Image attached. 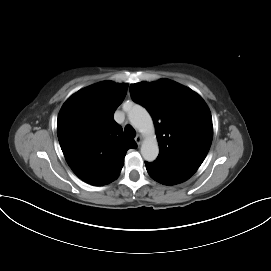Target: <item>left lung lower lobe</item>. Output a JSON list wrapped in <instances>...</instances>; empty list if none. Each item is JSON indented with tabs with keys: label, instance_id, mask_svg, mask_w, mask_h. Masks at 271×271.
Masks as SVG:
<instances>
[{
	"label": "left lung lower lobe",
	"instance_id": "obj_1",
	"mask_svg": "<svg viewBox=\"0 0 271 271\" xmlns=\"http://www.w3.org/2000/svg\"><path fill=\"white\" fill-rule=\"evenodd\" d=\"M149 175L159 183L174 185L190 178L196 170L182 165L156 159L154 162H145Z\"/></svg>",
	"mask_w": 271,
	"mask_h": 271
}]
</instances>
